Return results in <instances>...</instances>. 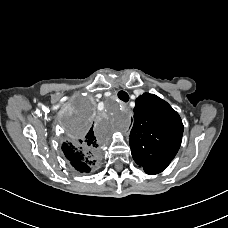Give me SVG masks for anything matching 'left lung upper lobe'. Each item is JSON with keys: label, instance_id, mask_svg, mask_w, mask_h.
Here are the masks:
<instances>
[{"label": "left lung upper lobe", "instance_id": "left-lung-upper-lobe-1", "mask_svg": "<svg viewBox=\"0 0 228 228\" xmlns=\"http://www.w3.org/2000/svg\"><path fill=\"white\" fill-rule=\"evenodd\" d=\"M135 103L129 139L133 159L140 165L153 158L171 161L179 150L184 130L179 114L154 94L144 93Z\"/></svg>", "mask_w": 228, "mask_h": 228}]
</instances>
